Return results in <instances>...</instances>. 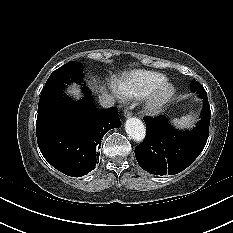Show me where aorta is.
Listing matches in <instances>:
<instances>
[{
    "label": "aorta",
    "instance_id": "obj_1",
    "mask_svg": "<svg viewBox=\"0 0 233 233\" xmlns=\"http://www.w3.org/2000/svg\"><path fill=\"white\" fill-rule=\"evenodd\" d=\"M125 130L129 137L136 142L143 141L146 135V128L143 122L136 117H130L127 119L125 123Z\"/></svg>",
    "mask_w": 233,
    "mask_h": 233
}]
</instances>
